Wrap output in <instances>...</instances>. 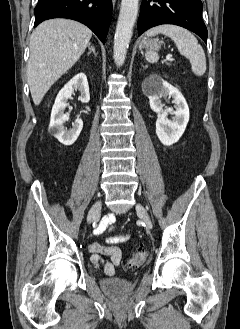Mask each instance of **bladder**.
Listing matches in <instances>:
<instances>
[{
	"mask_svg": "<svg viewBox=\"0 0 240 329\" xmlns=\"http://www.w3.org/2000/svg\"><path fill=\"white\" fill-rule=\"evenodd\" d=\"M101 287L105 292L109 294L115 296H124L129 294L133 290L134 285L131 281L127 279L120 277H112L102 280Z\"/></svg>",
	"mask_w": 240,
	"mask_h": 329,
	"instance_id": "31cf9c89",
	"label": "bladder"
}]
</instances>
